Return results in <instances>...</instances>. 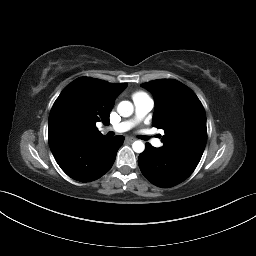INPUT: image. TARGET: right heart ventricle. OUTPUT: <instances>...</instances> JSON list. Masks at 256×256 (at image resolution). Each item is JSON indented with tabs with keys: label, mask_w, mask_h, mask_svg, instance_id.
<instances>
[{
	"label": "right heart ventricle",
	"mask_w": 256,
	"mask_h": 256,
	"mask_svg": "<svg viewBox=\"0 0 256 256\" xmlns=\"http://www.w3.org/2000/svg\"><path fill=\"white\" fill-rule=\"evenodd\" d=\"M146 97H148V96L143 92H136L133 94V100H135L137 98H146Z\"/></svg>",
	"instance_id": "1"
}]
</instances>
